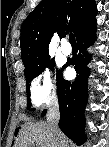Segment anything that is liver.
Here are the masks:
<instances>
[{
	"instance_id": "1",
	"label": "liver",
	"mask_w": 109,
	"mask_h": 147,
	"mask_svg": "<svg viewBox=\"0 0 109 147\" xmlns=\"http://www.w3.org/2000/svg\"><path fill=\"white\" fill-rule=\"evenodd\" d=\"M15 147H69V140L58 130L54 135L46 122H27L22 125L16 139Z\"/></svg>"
}]
</instances>
